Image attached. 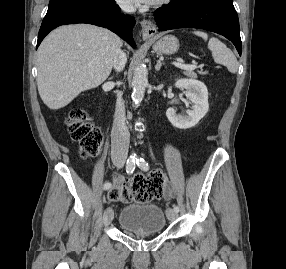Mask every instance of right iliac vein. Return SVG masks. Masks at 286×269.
I'll return each instance as SVG.
<instances>
[{"mask_svg":"<svg viewBox=\"0 0 286 269\" xmlns=\"http://www.w3.org/2000/svg\"><path fill=\"white\" fill-rule=\"evenodd\" d=\"M114 218V211L112 208L108 207L105 209L104 214H103V222L104 224L108 225L112 222Z\"/></svg>","mask_w":286,"mask_h":269,"instance_id":"1","label":"right iliac vein"}]
</instances>
